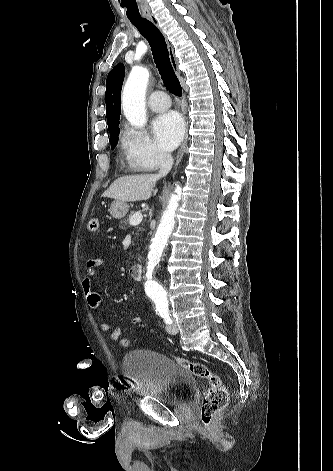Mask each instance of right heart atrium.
I'll use <instances>...</instances> for the list:
<instances>
[{"label":"right heart atrium","mask_w":333,"mask_h":471,"mask_svg":"<svg viewBox=\"0 0 333 471\" xmlns=\"http://www.w3.org/2000/svg\"><path fill=\"white\" fill-rule=\"evenodd\" d=\"M120 139L126 160L135 170L154 171L170 161V155L143 129L126 126Z\"/></svg>","instance_id":"obj_1"}]
</instances>
